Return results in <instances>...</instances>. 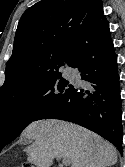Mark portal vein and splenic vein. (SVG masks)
I'll return each instance as SVG.
<instances>
[{
	"label": "portal vein and splenic vein",
	"mask_w": 125,
	"mask_h": 167,
	"mask_svg": "<svg viewBox=\"0 0 125 167\" xmlns=\"http://www.w3.org/2000/svg\"><path fill=\"white\" fill-rule=\"evenodd\" d=\"M64 165H69L70 164V160L68 158H63L62 160Z\"/></svg>",
	"instance_id": "portal-vein-and-splenic-vein-1"
}]
</instances>
